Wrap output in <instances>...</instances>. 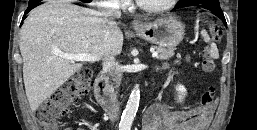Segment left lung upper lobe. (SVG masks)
I'll use <instances>...</instances> for the list:
<instances>
[{"label":"left lung upper lobe","mask_w":257,"mask_h":130,"mask_svg":"<svg viewBox=\"0 0 257 130\" xmlns=\"http://www.w3.org/2000/svg\"><path fill=\"white\" fill-rule=\"evenodd\" d=\"M202 0H180L178 2V4L176 6H180V5H185V4H190V3H197V4H200ZM218 1V0H217Z\"/></svg>","instance_id":"left-lung-upper-lobe-1"}]
</instances>
